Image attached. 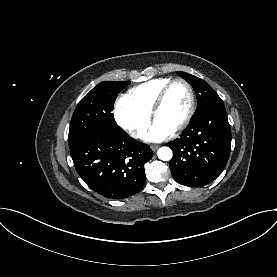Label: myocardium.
I'll list each match as a JSON object with an SVG mask.
<instances>
[{"label":"myocardium","instance_id":"myocardium-1","mask_svg":"<svg viewBox=\"0 0 277 277\" xmlns=\"http://www.w3.org/2000/svg\"><path fill=\"white\" fill-rule=\"evenodd\" d=\"M177 83H181L183 84L189 93V97H190V104H189V109L188 112L185 116V118L183 119V121L174 129L175 132H179L182 131L184 128L187 127V125L190 123L191 119L193 118V115L195 113L196 110V97H195V92L194 89L192 87V85L185 79L183 78H175L171 81H169L159 92L158 96L156 97L152 108L150 110V116L155 119L158 111L161 109V107L163 106L165 99L167 97L168 92L170 91L171 87Z\"/></svg>","mask_w":277,"mask_h":277}]
</instances>
